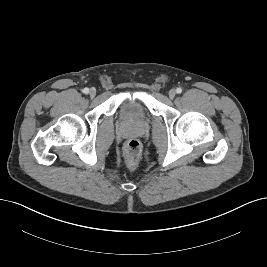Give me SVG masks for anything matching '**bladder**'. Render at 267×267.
Segmentation results:
<instances>
[{"mask_svg": "<svg viewBox=\"0 0 267 267\" xmlns=\"http://www.w3.org/2000/svg\"><path fill=\"white\" fill-rule=\"evenodd\" d=\"M122 118L132 121H141L148 115L147 109L140 100H127L119 108Z\"/></svg>", "mask_w": 267, "mask_h": 267, "instance_id": "31cf9c89", "label": "bladder"}]
</instances>
